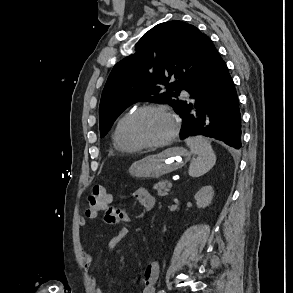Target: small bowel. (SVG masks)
Segmentation results:
<instances>
[{
  "label": "small bowel",
  "mask_w": 293,
  "mask_h": 293,
  "mask_svg": "<svg viewBox=\"0 0 293 293\" xmlns=\"http://www.w3.org/2000/svg\"><path fill=\"white\" fill-rule=\"evenodd\" d=\"M132 197L135 198L145 211H151L155 206V198L144 188L137 187L132 191ZM111 203V202H110ZM104 220L108 224H116L119 222H130L132 218L120 208H115L109 205L108 209L104 213ZM80 225L84 227L85 221L81 220ZM129 230L127 227H122L116 235L111 237L108 243L109 250H114L120 242L128 235ZM81 256L84 261V266L87 270L91 268L92 256L84 248L81 247ZM160 270V263L154 261L149 264L143 271L140 279L141 293H155V282L157 280ZM90 284L96 293H104L103 288L98 284L97 279L93 276L89 278Z\"/></svg>",
  "instance_id": "1"
}]
</instances>
